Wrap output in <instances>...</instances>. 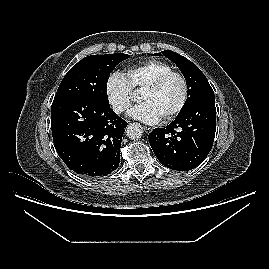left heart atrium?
I'll return each mask as SVG.
<instances>
[{"label": "left heart atrium", "mask_w": 269, "mask_h": 269, "mask_svg": "<svg viewBox=\"0 0 269 269\" xmlns=\"http://www.w3.org/2000/svg\"><path fill=\"white\" fill-rule=\"evenodd\" d=\"M129 116L144 123L154 124L161 118L149 102H142L133 107Z\"/></svg>", "instance_id": "39dd6f15"}]
</instances>
